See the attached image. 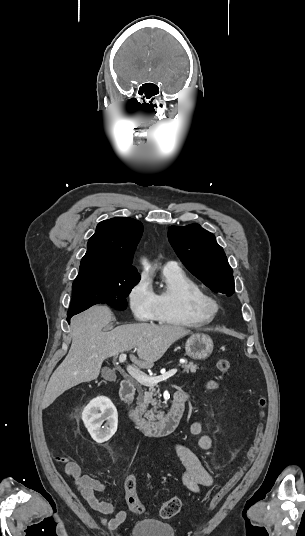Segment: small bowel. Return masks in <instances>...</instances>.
Segmentation results:
<instances>
[{
	"mask_svg": "<svg viewBox=\"0 0 305 536\" xmlns=\"http://www.w3.org/2000/svg\"><path fill=\"white\" fill-rule=\"evenodd\" d=\"M216 387L217 384L214 381H209L206 384L208 390H213ZM184 393L186 398H188V394L186 392ZM203 427L204 423L202 421H196L191 425L190 430L192 434L199 437V447L203 450H208L211 447V440L207 435L202 434ZM173 448L184 467L181 478L187 489L198 493L202 487L213 486L214 481L212 476L189 447L180 443H174ZM65 473L73 479L82 498L93 510L103 516L114 514V506L98 497V493L106 490V484L104 482L83 474L79 464L75 461H67ZM126 517L127 511L120 510L111 519L101 517V522L107 529L115 530L125 521Z\"/></svg>",
	"mask_w": 305,
	"mask_h": 536,
	"instance_id": "c3829d8e",
	"label": "small bowel"
}]
</instances>
